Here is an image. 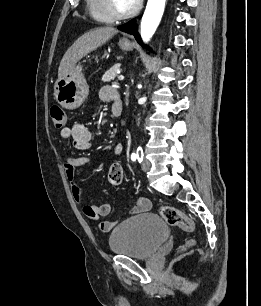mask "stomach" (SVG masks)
Returning <instances> with one entry per match:
<instances>
[{"mask_svg":"<svg viewBox=\"0 0 261 306\" xmlns=\"http://www.w3.org/2000/svg\"><path fill=\"white\" fill-rule=\"evenodd\" d=\"M118 45L125 51H131L134 47L127 39H121ZM82 71L83 66L81 64L75 65L65 77L56 81L54 96L63 108L76 109L87 98L89 86Z\"/></svg>","mask_w":261,"mask_h":306,"instance_id":"obj_1","label":"stomach"}]
</instances>
